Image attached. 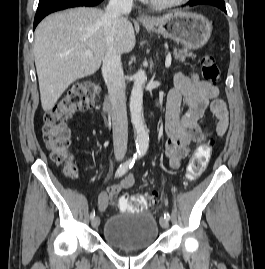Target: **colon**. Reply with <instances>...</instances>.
Segmentation results:
<instances>
[{
  "label": "colon",
  "mask_w": 265,
  "mask_h": 269,
  "mask_svg": "<svg viewBox=\"0 0 265 269\" xmlns=\"http://www.w3.org/2000/svg\"><path fill=\"white\" fill-rule=\"evenodd\" d=\"M201 71L206 82L216 85L220 81L221 73L212 55H205L201 60ZM98 88L88 82L73 87L60 101L44 116L43 140L50 151L53 162L63 167L68 178L77 176V168L70 155V131L67 119L78 111H86L95 104ZM211 140L201 143L193 153L186 168L185 183L190 184L200 177L205 170L211 155ZM151 195H124L118 201L122 212H138L149 203L155 201Z\"/></svg>",
  "instance_id": "1"
}]
</instances>
